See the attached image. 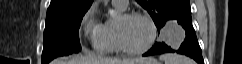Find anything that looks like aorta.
<instances>
[{"label":"aorta","mask_w":242,"mask_h":64,"mask_svg":"<svg viewBox=\"0 0 242 64\" xmlns=\"http://www.w3.org/2000/svg\"><path fill=\"white\" fill-rule=\"evenodd\" d=\"M109 13L112 14L113 13V10H110Z\"/></svg>","instance_id":"762f6f07"}]
</instances>
